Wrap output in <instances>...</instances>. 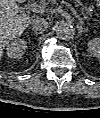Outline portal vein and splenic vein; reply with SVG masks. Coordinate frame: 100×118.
<instances>
[{"instance_id":"1","label":"portal vein and splenic vein","mask_w":100,"mask_h":118,"mask_svg":"<svg viewBox=\"0 0 100 118\" xmlns=\"http://www.w3.org/2000/svg\"><path fill=\"white\" fill-rule=\"evenodd\" d=\"M62 3L66 4V2H63V1H62ZM29 6H30L31 11H33L35 13H44L45 9H46V6L39 5L36 3L30 4Z\"/></svg>"}]
</instances>
